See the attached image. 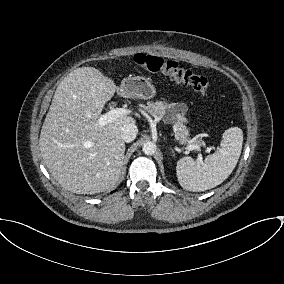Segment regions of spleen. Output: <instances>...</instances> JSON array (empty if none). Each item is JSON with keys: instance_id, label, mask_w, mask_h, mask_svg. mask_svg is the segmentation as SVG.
<instances>
[{"instance_id": "obj_1", "label": "spleen", "mask_w": 284, "mask_h": 284, "mask_svg": "<svg viewBox=\"0 0 284 284\" xmlns=\"http://www.w3.org/2000/svg\"><path fill=\"white\" fill-rule=\"evenodd\" d=\"M220 148L208 155L204 162L183 157L177 162L179 184L186 190L199 192L216 187L234 170L242 151L243 131L231 127L223 133Z\"/></svg>"}]
</instances>
